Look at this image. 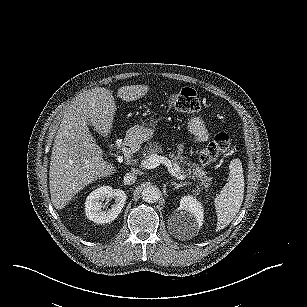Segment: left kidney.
<instances>
[{"label": "left kidney", "mask_w": 307, "mask_h": 307, "mask_svg": "<svg viewBox=\"0 0 307 307\" xmlns=\"http://www.w3.org/2000/svg\"><path fill=\"white\" fill-rule=\"evenodd\" d=\"M172 215L179 220L174 226L176 234L184 238L195 236L204 224V201L195 194L184 195Z\"/></svg>", "instance_id": "obj_1"}]
</instances>
